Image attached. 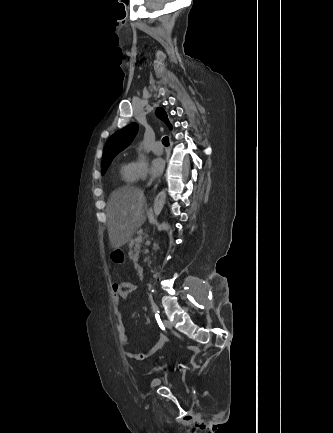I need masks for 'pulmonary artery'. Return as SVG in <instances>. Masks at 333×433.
Returning <instances> with one entry per match:
<instances>
[{"label": "pulmonary artery", "instance_id": "e3ab8cb5", "mask_svg": "<svg viewBox=\"0 0 333 433\" xmlns=\"http://www.w3.org/2000/svg\"><path fill=\"white\" fill-rule=\"evenodd\" d=\"M153 153L156 155H161L163 153V146L160 142H157L152 149Z\"/></svg>", "mask_w": 333, "mask_h": 433}]
</instances>
